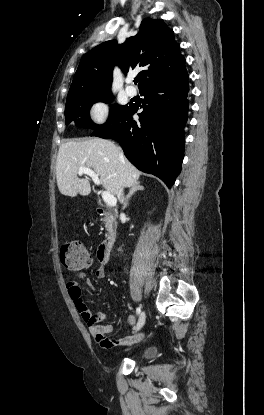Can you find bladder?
Here are the masks:
<instances>
[{
  "mask_svg": "<svg viewBox=\"0 0 264 415\" xmlns=\"http://www.w3.org/2000/svg\"><path fill=\"white\" fill-rule=\"evenodd\" d=\"M156 353H157V350L154 346H148L140 352L139 356L143 359H150L154 355H156Z\"/></svg>",
  "mask_w": 264,
  "mask_h": 415,
  "instance_id": "31cf9c89",
  "label": "bladder"
}]
</instances>
